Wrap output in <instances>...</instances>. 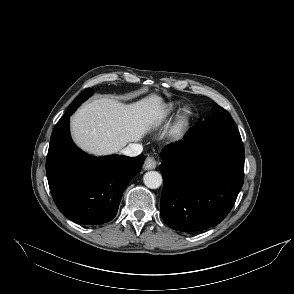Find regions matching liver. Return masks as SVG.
I'll return each mask as SVG.
<instances>
[{
	"label": "liver",
	"mask_w": 294,
	"mask_h": 294,
	"mask_svg": "<svg viewBox=\"0 0 294 294\" xmlns=\"http://www.w3.org/2000/svg\"><path fill=\"white\" fill-rule=\"evenodd\" d=\"M165 113V104L156 94L132 104L102 97L79 108L71 119V132L82 150L96 156L110 155L140 141L160 125ZM171 132L177 133L178 128Z\"/></svg>",
	"instance_id": "1"
}]
</instances>
